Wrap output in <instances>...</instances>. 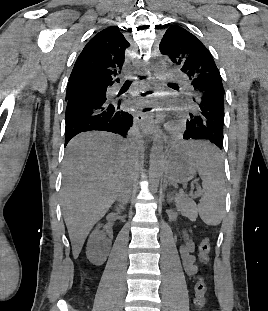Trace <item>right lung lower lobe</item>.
Listing matches in <instances>:
<instances>
[{
  "mask_svg": "<svg viewBox=\"0 0 268 311\" xmlns=\"http://www.w3.org/2000/svg\"><path fill=\"white\" fill-rule=\"evenodd\" d=\"M112 85L113 83L105 86L106 90ZM65 123L66 146L75 135L85 131H108L126 137L132 126L133 116L122 109L120 102L111 101L106 95H72L67 99Z\"/></svg>",
  "mask_w": 268,
  "mask_h": 311,
  "instance_id": "1",
  "label": "right lung lower lobe"
}]
</instances>
